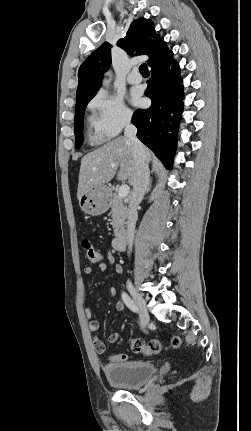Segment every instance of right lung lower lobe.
Here are the masks:
<instances>
[{
    "label": "right lung lower lobe",
    "mask_w": 251,
    "mask_h": 431,
    "mask_svg": "<svg viewBox=\"0 0 251 431\" xmlns=\"http://www.w3.org/2000/svg\"><path fill=\"white\" fill-rule=\"evenodd\" d=\"M145 95L150 108L136 110L132 117L138 138L148 146L167 168L173 164L176 149L178 115L182 112L183 86L178 63L172 55L151 67V78ZM171 131L172 134H168Z\"/></svg>",
    "instance_id": "obj_1"
}]
</instances>
